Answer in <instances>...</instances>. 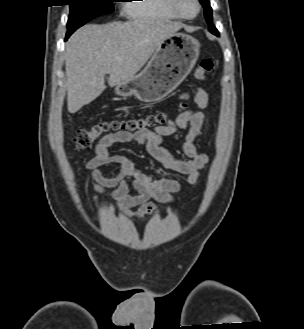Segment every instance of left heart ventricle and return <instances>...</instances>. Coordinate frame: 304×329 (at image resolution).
Masks as SVG:
<instances>
[{
    "instance_id": "1",
    "label": "left heart ventricle",
    "mask_w": 304,
    "mask_h": 329,
    "mask_svg": "<svg viewBox=\"0 0 304 329\" xmlns=\"http://www.w3.org/2000/svg\"><path fill=\"white\" fill-rule=\"evenodd\" d=\"M180 10L186 15H193L196 12V5L193 0H178Z\"/></svg>"
}]
</instances>
